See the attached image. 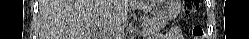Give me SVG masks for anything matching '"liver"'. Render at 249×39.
<instances>
[{
  "label": "liver",
  "mask_w": 249,
  "mask_h": 39,
  "mask_svg": "<svg viewBox=\"0 0 249 39\" xmlns=\"http://www.w3.org/2000/svg\"><path fill=\"white\" fill-rule=\"evenodd\" d=\"M129 0H41L40 39H91L96 21L106 30L127 19Z\"/></svg>",
  "instance_id": "1"
}]
</instances>
